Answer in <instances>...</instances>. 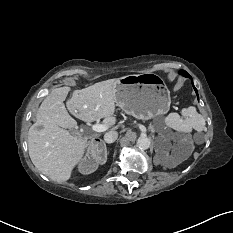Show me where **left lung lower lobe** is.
<instances>
[{"label":"left lung lower lobe","mask_w":233,"mask_h":233,"mask_svg":"<svg viewBox=\"0 0 233 233\" xmlns=\"http://www.w3.org/2000/svg\"><path fill=\"white\" fill-rule=\"evenodd\" d=\"M179 74H181V75H183L185 77L191 78V76L186 71H184V70L180 71ZM193 87H194V85H193ZM194 90L197 93V90H196L195 87H194ZM197 97H198V94H197Z\"/></svg>","instance_id":"obj_1"}]
</instances>
